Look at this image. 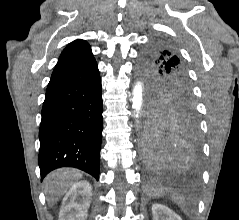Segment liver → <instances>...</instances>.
I'll use <instances>...</instances> for the list:
<instances>
[{
	"mask_svg": "<svg viewBox=\"0 0 239 220\" xmlns=\"http://www.w3.org/2000/svg\"><path fill=\"white\" fill-rule=\"evenodd\" d=\"M81 178L82 173L75 169L63 168L51 172L44 179L45 194L49 206L52 207L57 203L68 189Z\"/></svg>",
	"mask_w": 239,
	"mask_h": 220,
	"instance_id": "6515ba94",
	"label": "liver"
}]
</instances>
